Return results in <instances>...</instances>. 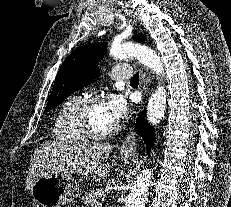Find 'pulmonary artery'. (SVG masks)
<instances>
[{"label":"pulmonary artery","instance_id":"pulmonary-artery-1","mask_svg":"<svg viewBox=\"0 0 231 207\" xmlns=\"http://www.w3.org/2000/svg\"><path fill=\"white\" fill-rule=\"evenodd\" d=\"M132 76V69L127 64H117L112 67L110 77L113 80H125Z\"/></svg>","mask_w":231,"mask_h":207}]
</instances>
